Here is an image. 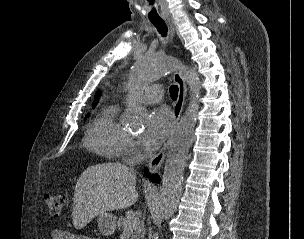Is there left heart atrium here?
Masks as SVG:
<instances>
[{
    "label": "left heart atrium",
    "instance_id": "obj_1",
    "mask_svg": "<svg viewBox=\"0 0 304 239\" xmlns=\"http://www.w3.org/2000/svg\"><path fill=\"white\" fill-rule=\"evenodd\" d=\"M172 127V117L165 107L152 112L148 127L141 135L140 142L145 151H153L165 140Z\"/></svg>",
    "mask_w": 304,
    "mask_h": 239
}]
</instances>
